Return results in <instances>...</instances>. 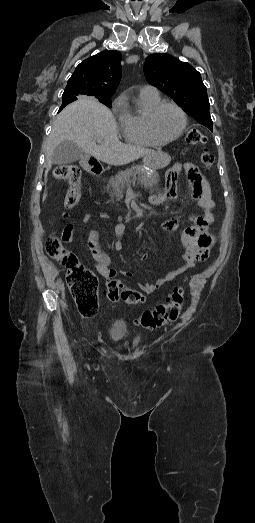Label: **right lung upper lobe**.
I'll use <instances>...</instances> for the list:
<instances>
[{"instance_id":"cb5924a9","label":"right lung upper lobe","mask_w":255,"mask_h":523,"mask_svg":"<svg viewBox=\"0 0 255 523\" xmlns=\"http://www.w3.org/2000/svg\"><path fill=\"white\" fill-rule=\"evenodd\" d=\"M121 53L116 50L103 51L82 63L68 80L62 96L59 112L69 103L82 99L110 98L121 80Z\"/></svg>"}]
</instances>
